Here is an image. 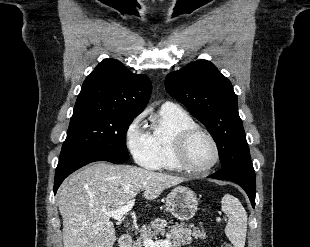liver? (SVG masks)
<instances>
[{"mask_svg": "<svg viewBox=\"0 0 310 247\" xmlns=\"http://www.w3.org/2000/svg\"><path fill=\"white\" fill-rule=\"evenodd\" d=\"M185 178L137 166L97 162L68 177L57 192L64 247H113L116 233L105 212L134 199L140 190L155 200Z\"/></svg>", "mask_w": 310, "mask_h": 247, "instance_id": "6515ba94", "label": "liver"}]
</instances>
